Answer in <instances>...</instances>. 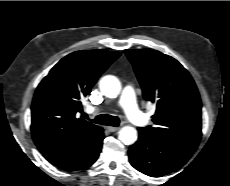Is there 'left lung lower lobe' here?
Wrapping results in <instances>:
<instances>
[{
  "instance_id": "1",
  "label": "left lung lower lobe",
  "mask_w": 230,
  "mask_h": 186,
  "mask_svg": "<svg viewBox=\"0 0 230 186\" xmlns=\"http://www.w3.org/2000/svg\"><path fill=\"white\" fill-rule=\"evenodd\" d=\"M196 148L197 145L161 139L139 130V140L129 149V161L138 171L160 177L181 168Z\"/></svg>"
}]
</instances>
